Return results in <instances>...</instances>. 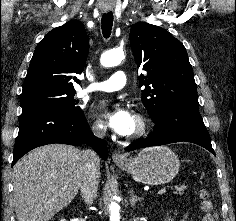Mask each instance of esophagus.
Instances as JSON below:
<instances>
[{
  "instance_id": "obj_1",
  "label": "esophagus",
  "mask_w": 236,
  "mask_h": 221,
  "mask_svg": "<svg viewBox=\"0 0 236 221\" xmlns=\"http://www.w3.org/2000/svg\"><path fill=\"white\" fill-rule=\"evenodd\" d=\"M112 160L115 163H122L125 161V157L122 154H120L119 152L115 151L112 153Z\"/></svg>"
}]
</instances>
